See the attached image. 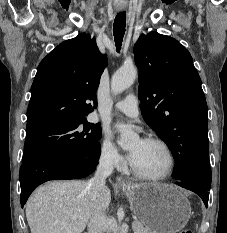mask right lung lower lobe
<instances>
[{"instance_id": "1", "label": "right lung lower lobe", "mask_w": 227, "mask_h": 233, "mask_svg": "<svg viewBox=\"0 0 227 233\" xmlns=\"http://www.w3.org/2000/svg\"><path fill=\"white\" fill-rule=\"evenodd\" d=\"M100 147L83 156L69 152L42 154L23 162L20 167L21 207L40 184L55 179H77L88 176L98 164Z\"/></svg>"}]
</instances>
